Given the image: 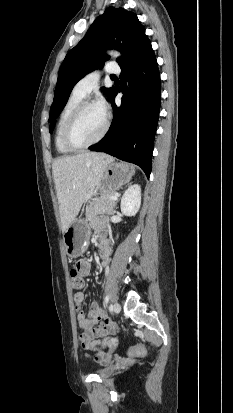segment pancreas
I'll list each match as a JSON object with an SVG mask.
<instances>
[{"label":"pancreas","instance_id":"cf45deb5","mask_svg":"<svg viewBox=\"0 0 233 413\" xmlns=\"http://www.w3.org/2000/svg\"><path fill=\"white\" fill-rule=\"evenodd\" d=\"M112 196H114V193L102 194L97 200L90 204L86 210V220L90 221L100 214L111 215L115 205L114 200L111 199Z\"/></svg>","mask_w":233,"mask_h":413}]
</instances>
